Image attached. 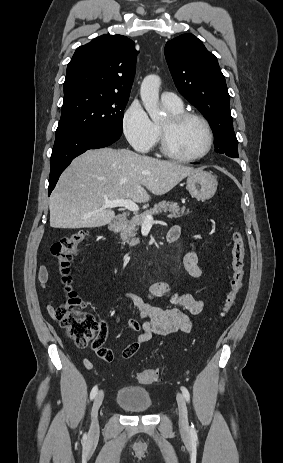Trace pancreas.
<instances>
[{
    "label": "pancreas",
    "mask_w": 283,
    "mask_h": 463,
    "mask_svg": "<svg viewBox=\"0 0 283 463\" xmlns=\"http://www.w3.org/2000/svg\"><path fill=\"white\" fill-rule=\"evenodd\" d=\"M162 212H169V218H177L187 214L189 210L186 211L185 207H180L176 202L161 201L158 204H155L153 208L146 210L142 215L134 216L131 220L126 221L121 225L120 235L122 241L130 246L137 245L139 243V238H135V236L139 226L144 223V218L147 215L153 216Z\"/></svg>",
    "instance_id": "obj_1"
}]
</instances>
